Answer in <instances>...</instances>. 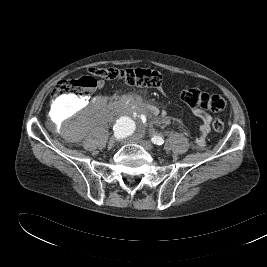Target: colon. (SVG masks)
Listing matches in <instances>:
<instances>
[{"label":"colon","instance_id":"colon-1","mask_svg":"<svg viewBox=\"0 0 267 267\" xmlns=\"http://www.w3.org/2000/svg\"><path fill=\"white\" fill-rule=\"evenodd\" d=\"M96 78L113 81L121 80L131 87L157 88L163 84L164 77L157 70L133 67V68H92L89 75H83L75 79L59 81L53 88L51 95L54 98L62 96H74L86 98L97 86ZM181 99L191 108L221 112L226 108L225 99L217 94H209L199 89H186L181 93ZM214 131L221 133L224 123L219 118L212 121Z\"/></svg>","mask_w":267,"mask_h":267}]
</instances>
